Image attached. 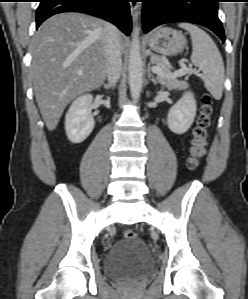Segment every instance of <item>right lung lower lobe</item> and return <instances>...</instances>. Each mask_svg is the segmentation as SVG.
Segmentation results:
<instances>
[{"mask_svg":"<svg viewBox=\"0 0 248 299\" xmlns=\"http://www.w3.org/2000/svg\"><path fill=\"white\" fill-rule=\"evenodd\" d=\"M62 12H81L107 20L127 36L131 32L129 0H40L36 28L50 16Z\"/></svg>","mask_w":248,"mask_h":299,"instance_id":"right-lung-lower-lobe-1","label":"right lung lower lobe"}]
</instances>
